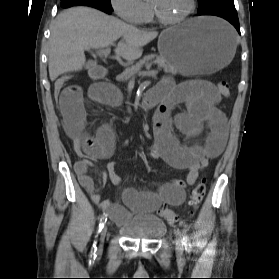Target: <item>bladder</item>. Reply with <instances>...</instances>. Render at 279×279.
Returning a JSON list of instances; mask_svg holds the SVG:
<instances>
[{
	"instance_id": "1",
	"label": "bladder",
	"mask_w": 279,
	"mask_h": 279,
	"mask_svg": "<svg viewBox=\"0 0 279 279\" xmlns=\"http://www.w3.org/2000/svg\"><path fill=\"white\" fill-rule=\"evenodd\" d=\"M119 232L126 238L136 240H157L166 233V224L154 215L130 217L128 222L118 226Z\"/></svg>"
}]
</instances>
